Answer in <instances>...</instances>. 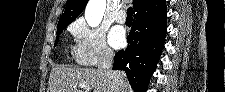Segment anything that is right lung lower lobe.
<instances>
[{"instance_id": "right-lung-lower-lobe-1", "label": "right lung lower lobe", "mask_w": 225, "mask_h": 92, "mask_svg": "<svg viewBox=\"0 0 225 92\" xmlns=\"http://www.w3.org/2000/svg\"><path fill=\"white\" fill-rule=\"evenodd\" d=\"M167 11L133 21L129 45L115 54L113 70L125 71L135 92H145L165 42Z\"/></svg>"}]
</instances>
